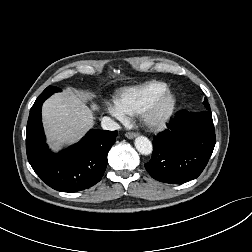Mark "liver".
<instances>
[{"instance_id":"6515ba94","label":"liver","mask_w":252,"mask_h":252,"mask_svg":"<svg viewBox=\"0 0 252 252\" xmlns=\"http://www.w3.org/2000/svg\"><path fill=\"white\" fill-rule=\"evenodd\" d=\"M85 100L81 94L64 91L44 102L43 125L53 150L76 143L93 127V111L98 107L92 104L89 108Z\"/></svg>"}]
</instances>
